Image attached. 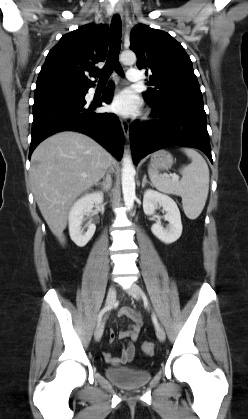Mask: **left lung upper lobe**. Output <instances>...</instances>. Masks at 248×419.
<instances>
[{
  "label": "left lung upper lobe",
  "mask_w": 248,
  "mask_h": 419,
  "mask_svg": "<svg viewBox=\"0 0 248 419\" xmlns=\"http://www.w3.org/2000/svg\"><path fill=\"white\" fill-rule=\"evenodd\" d=\"M130 49L137 55V67L152 73L148 84L154 87L144 93L152 107L168 102H203L188 54L168 33L136 25L131 30Z\"/></svg>",
  "instance_id": "obj_1"
}]
</instances>
